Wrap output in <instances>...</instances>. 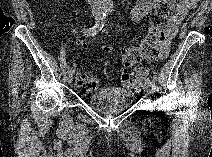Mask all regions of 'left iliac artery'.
Returning a JSON list of instances; mask_svg holds the SVG:
<instances>
[{
    "label": "left iliac artery",
    "mask_w": 212,
    "mask_h": 157,
    "mask_svg": "<svg viewBox=\"0 0 212 157\" xmlns=\"http://www.w3.org/2000/svg\"><path fill=\"white\" fill-rule=\"evenodd\" d=\"M103 31L107 33L106 28H104ZM144 84L150 86L152 89H155L153 82L149 78L145 79Z\"/></svg>",
    "instance_id": "obj_1"
}]
</instances>
